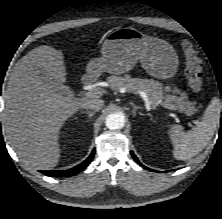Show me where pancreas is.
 <instances>
[{"label":"pancreas","instance_id":"obj_1","mask_svg":"<svg viewBox=\"0 0 222 219\" xmlns=\"http://www.w3.org/2000/svg\"><path fill=\"white\" fill-rule=\"evenodd\" d=\"M107 81L113 90H119L121 88H126L128 91L136 93L141 90L145 92L148 96L149 101L152 106H155L159 101L165 99L167 102H175L177 108L184 112L186 115H192L197 111L195 104L187 100L186 93H181L180 97L172 95H164L163 86L158 82L152 79H139L132 78L130 75L126 74L124 77L110 76L107 78ZM165 90H170L169 87H166Z\"/></svg>","mask_w":222,"mask_h":219}]
</instances>
